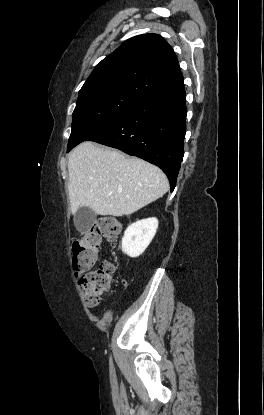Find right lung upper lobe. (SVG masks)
<instances>
[{"instance_id":"cb5924a9","label":"right lung upper lobe","mask_w":264,"mask_h":415,"mask_svg":"<svg viewBox=\"0 0 264 415\" xmlns=\"http://www.w3.org/2000/svg\"><path fill=\"white\" fill-rule=\"evenodd\" d=\"M181 82L183 75L172 47L160 35L145 34L130 38L104 58L79 97L121 91L145 98Z\"/></svg>"}]
</instances>
